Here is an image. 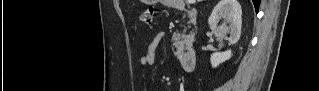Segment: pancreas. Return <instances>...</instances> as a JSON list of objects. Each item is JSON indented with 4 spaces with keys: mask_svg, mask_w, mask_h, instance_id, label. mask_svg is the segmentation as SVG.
I'll return each instance as SVG.
<instances>
[{
    "mask_svg": "<svg viewBox=\"0 0 319 91\" xmlns=\"http://www.w3.org/2000/svg\"><path fill=\"white\" fill-rule=\"evenodd\" d=\"M191 37L190 35H184L183 33L177 36V41L173 44V52L176 56H180L184 51V45Z\"/></svg>",
    "mask_w": 319,
    "mask_h": 91,
    "instance_id": "obj_1",
    "label": "pancreas"
}]
</instances>
